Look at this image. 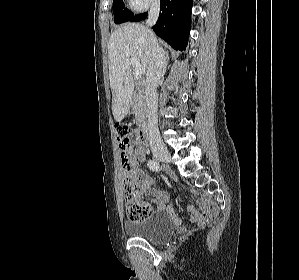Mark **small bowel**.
<instances>
[{"label": "small bowel", "mask_w": 299, "mask_h": 280, "mask_svg": "<svg viewBox=\"0 0 299 280\" xmlns=\"http://www.w3.org/2000/svg\"><path fill=\"white\" fill-rule=\"evenodd\" d=\"M129 179L131 183L139 186L141 190L150 196V201L146 202L151 211L152 206H155L158 210H165L174 216V210L171 206L166 207L165 199L166 194L153 188V179L144 171L138 168V161L144 160L145 150L138 138L134 137L133 142L129 148ZM200 211L189 207L188 210L191 213V220L194 223L203 224L212 219L216 214V208L212 206L207 200H199Z\"/></svg>", "instance_id": "small-bowel-1"}]
</instances>
